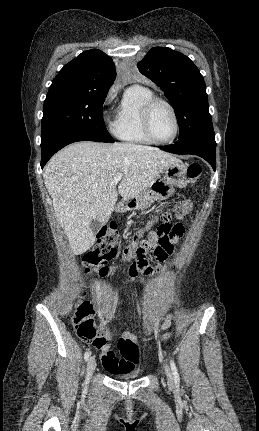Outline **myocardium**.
<instances>
[{"mask_svg":"<svg viewBox=\"0 0 259 431\" xmlns=\"http://www.w3.org/2000/svg\"><path fill=\"white\" fill-rule=\"evenodd\" d=\"M158 104H164L165 106H167L169 108V110L173 116L174 125H175V130H174L172 137L170 139L164 140V141L158 140L154 136V134L152 132V126H151L152 113H153L154 108ZM142 126H143V130H144L146 136L149 138V140L152 143L159 144V145H166V144L172 143L177 138V136L179 134V130H180L179 118H178L175 107L168 100L161 98V97H156V96L151 98L143 106V109H142Z\"/></svg>","mask_w":259,"mask_h":431,"instance_id":"f54148a6","label":"myocardium"}]
</instances>
